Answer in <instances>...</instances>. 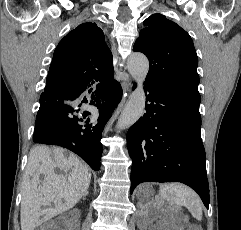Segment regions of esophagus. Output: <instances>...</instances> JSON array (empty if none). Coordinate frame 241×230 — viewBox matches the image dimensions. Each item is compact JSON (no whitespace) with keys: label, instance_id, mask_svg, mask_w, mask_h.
I'll use <instances>...</instances> for the list:
<instances>
[{"label":"esophagus","instance_id":"esophagus-1","mask_svg":"<svg viewBox=\"0 0 241 230\" xmlns=\"http://www.w3.org/2000/svg\"><path fill=\"white\" fill-rule=\"evenodd\" d=\"M114 54L116 55L117 54V52L114 50ZM123 84L125 85V89L126 90H129V85H128V83L127 82H123Z\"/></svg>","mask_w":241,"mask_h":230}]
</instances>
